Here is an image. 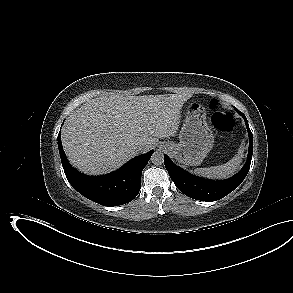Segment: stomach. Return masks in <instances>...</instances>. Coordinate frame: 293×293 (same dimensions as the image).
<instances>
[{
  "mask_svg": "<svg viewBox=\"0 0 293 293\" xmlns=\"http://www.w3.org/2000/svg\"><path fill=\"white\" fill-rule=\"evenodd\" d=\"M214 144L212 130L206 121V112L199 103H191L179 134V143H163L164 149L185 166H198Z\"/></svg>",
  "mask_w": 293,
  "mask_h": 293,
  "instance_id": "0dacf381",
  "label": "stomach"
}]
</instances>
